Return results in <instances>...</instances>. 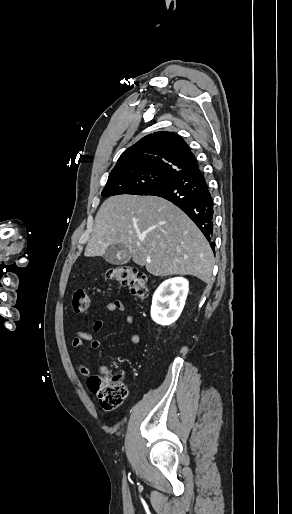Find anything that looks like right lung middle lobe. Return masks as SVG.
<instances>
[{"mask_svg":"<svg viewBox=\"0 0 292 514\" xmlns=\"http://www.w3.org/2000/svg\"><path fill=\"white\" fill-rule=\"evenodd\" d=\"M170 175L172 174L166 172H143L109 176L101 195L104 197L119 194L143 195Z\"/></svg>","mask_w":292,"mask_h":514,"instance_id":"dd1d6c3e","label":"right lung middle lobe"}]
</instances>
